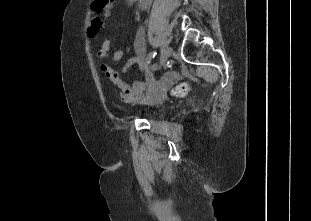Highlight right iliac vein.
<instances>
[{
    "mask_svg": "<svg viewBox=\"0 0 311 221\" xmlns=\"http://www.w3.org/2000/svg\"><path fill=\"white\" fill-rule=\"evenodd\" d=\"M170 52H171V49L168 46H164L162 48L161 57H160V66H164L165 65L167 59L170 56Z\"/></svg>",
    "mask_w": 311,
    "mask_h": 221,
    "instance_id": "63e3f726",
    "label": "right iliac vein"
}]
</instances>
